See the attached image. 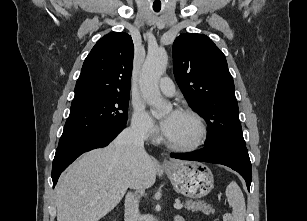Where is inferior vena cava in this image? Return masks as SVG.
<instances>
[{
    "mask_svg": "<svg viewBox=\"0 0 307 221\" xmlns=\"http://www.w3.org/2000/svg\"><path fill=\"white\" fill-rule=\"evenodd\" d=\"M145 139V128L141 125H132L118 135L115 143L119 147H124L129 154L145 158L147 156L144 149ZM125 221H141L138 200L131 192L125 198Z\"/></svg>",
    "mask_w": 307,
    "mask_h": 221,
    "instance_id": "1",
    "label": "inferior vena cava"
}]
</instances>
